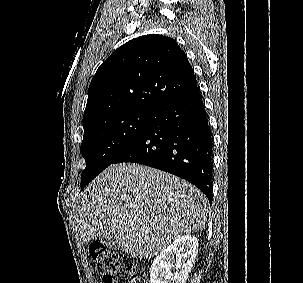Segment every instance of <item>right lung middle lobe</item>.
<instances>
[{"instance_id": "1", "label": "right lung middle lobe", "mask_w": 303, "mask_h": 283, "mask_svg": "<svg viewBox=\"0 0 303 283\" xmlns=\"http://www.w3.org/2000/svg\"><path fill=\"white\" fill-rule=\"evenodd\" d=\"M155 113L133 110L106 117L84 130L81 152L86 168L81 190L106 169L143 133Z\"/></svg>"}]
</instances>
